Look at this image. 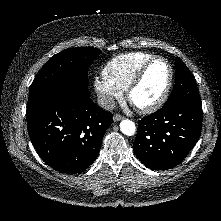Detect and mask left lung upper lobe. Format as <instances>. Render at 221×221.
I'll use <instances>...</instances> for the list:
<instances>
[{
	"label": "left lung upper lobe",
	"mask_w": 221,
	"mask_h": 221,
	"mask_svg": "<svg viewBox=\"0 0 221 221\" xmlns=\"http://www.w3.org/2000/svg\"><path fill=\"white\" fill-rule=\"evenodd\" d=\"M175 65L176 82L165 105L174 103H191L201 105L199 91L191 76L190 70L178 57L176 58Z\"/></svg>",
	"instance_id": "left-lung-upper-lobe-1"
}]
</instances>
